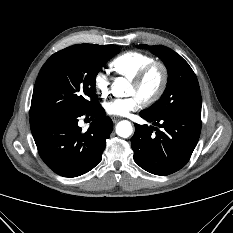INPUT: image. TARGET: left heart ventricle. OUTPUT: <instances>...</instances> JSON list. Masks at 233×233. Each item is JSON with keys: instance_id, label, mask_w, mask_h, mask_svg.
Returning a JSON list of instances; mask_svg holds the SVG:
<instances>
[{"instance_id": "b2bd125f", "label": "left heart ventricle", "mask_w": 233, "mask_h": 233, "mask_svg": "<svg viewBox=\"0 0 233 233\" xmlns=\"http://www.w3.org/2000/svg\"><path fill=\"white\" fill-rule=\"evenodd\" d=\"M161 81V72L158 68L153 69L146 77L141 87H136L132 83L129 87L130 95H137L140 100L148 98L155 93Z\"/></svg>"}]
</instances>
